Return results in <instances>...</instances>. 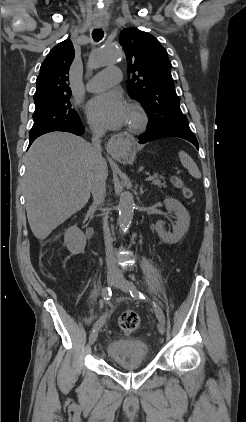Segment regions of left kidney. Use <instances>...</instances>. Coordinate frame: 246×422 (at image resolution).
<instances>
[{
  "instance_id": "1",
  "label": "left kidney",
  "mask_w": 246,
  "mask_h": 422,
  "mask_svg": "<svg viewBox=\"0 0 246 422\" xmlns=\"http://www.w3.org/2000/svg\"><path fill=\"white\" fill-rule=\"evenodd\" d=\"M164 204L169 213H174L176 215V226L173 229V233L167 232L164 229L163 221L159 220L155 224V229L158 236L164 242L175 244L187 233L190 226V215L185 207L174 198H166Z\"/></svg>"
}]
</instances>
